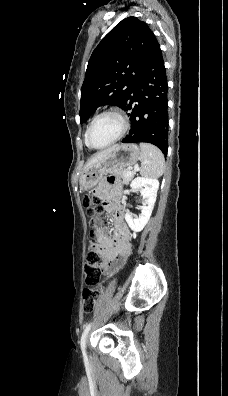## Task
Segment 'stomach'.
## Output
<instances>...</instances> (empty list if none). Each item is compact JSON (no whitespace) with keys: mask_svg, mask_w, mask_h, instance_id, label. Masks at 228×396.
<instances>
[{"mask_svg":"<svg viewBox=\"0 0 228 396\" xmlns=\"http://www.w3.org/2000/svg\"><path fill=\"white\" fill-rule=\"evenodd\" d=\"M140 148L134 143L121 144L105 158L86 168L80 177V186L84 191L92 189L107 173L115 168L133 166L140 159Z\"/></svg>","mask_w":228,"mask_h":396,"instance_id":"stomach-1","label":"stomach"}]
</instances>
